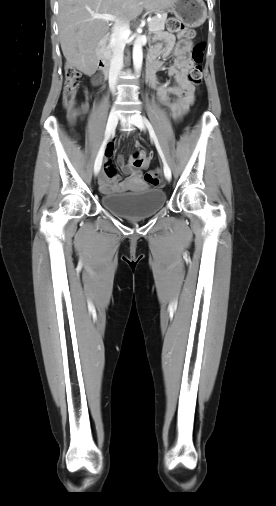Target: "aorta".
Listing matches in <instances>:
<instances>
[{"mask_svg":"<svg viewBox=\"0 0 276 506\" xmlns=\"http://www.w3.org/2000/svg\"><path fill=\"white\" fill-rule=\"evenodd\" d=\"M142 62H143L142 42L139 38H137V40L133 45V66L137 74H139L142 69Z\"/></svg>","mask_w":276,"mask_h":506,"instance_id":"obj_1","label":"aorta"}]
</instances>
